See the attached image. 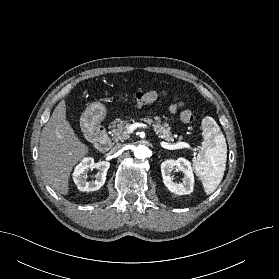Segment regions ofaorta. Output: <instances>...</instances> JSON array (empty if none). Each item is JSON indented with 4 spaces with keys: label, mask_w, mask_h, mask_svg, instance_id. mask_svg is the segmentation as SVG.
I'll use <instances>...</instances> for the list:
<instances>
[{
    "label": "aorta",
    "mask_w": 279,
    "mask_h": 279,
    "mask_svg": "<svg viewBox=\"0 0 279 279\" xmlns=\"http://www.w3.org/2000/svg\"><path fill=\"white\" fill-rule=\"evenodd\" d=\"M149 153H150L149 148L144 145H139L134 150L135 157L139 159L147 158L149 156Z\"/></svg>",
    "instance_id": "aorta-1"
}]
</instances>
